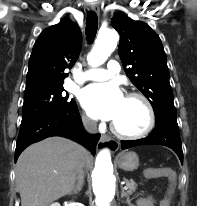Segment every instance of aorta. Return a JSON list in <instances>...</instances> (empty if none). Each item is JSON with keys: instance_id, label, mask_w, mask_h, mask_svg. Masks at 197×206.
<instances>
[{"instance_id": "aorta-1", "label": "aorta", "mask_w": 197, "mask_h": 206, "mask_svg": "<svg viewBox=\"0 0 197 206\" xmlns=\"http://www.w3.org/2000/svg\"><path fill=\"white\" fill-rule=\"evenodd\" d=\"M119 36L113 29L101 31L87 60L93 66L104 63L117 46ZM93 192L96 206H110L116 192L111 155L108 149L100 151L96 157L92 174Z\"/></svg>"}]
</instances>
